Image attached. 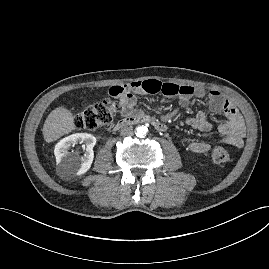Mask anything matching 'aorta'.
Wrapping results in <instances>:
<instances>
[{"label":"aorta","mask_w":269,"mask_h":269,"mask_svg":"<svg viewBox=\"0 0 269 269\" xmlns=\"http://www.w3.org/2000/svg\"><path fill=\"white\" fill-rule=\"evenodd\" d=\"M147 132H148V128L146 126L142 125L136 128V135L138 137H144L147 134Z\"/></svg>","instance_id":"aorta-1"}]
</instances>
